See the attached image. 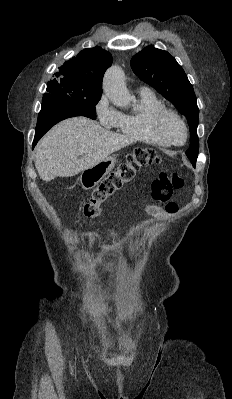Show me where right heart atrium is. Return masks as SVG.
Segmentation results:
<instances>
[{"label":"right heart atrium","mask_w":232,"mask_h":399,"mask_svg":"<svg viewBox=\"0 0 232 399\" xmlns=\"http://www.w3.org/2000/svg\"><path fill=\"white\" fill-rule=\"evenodd\" d=\"M96 116L99 125H103L104 128H113L116 127L121 114L107 103V96H105L96 106Z\"/></svg>","instance_id":"obj_1"}]
</instances>
